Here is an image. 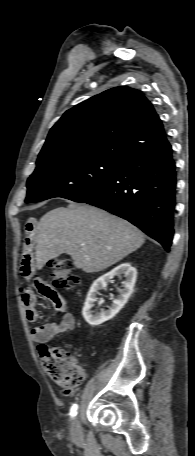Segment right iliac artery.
Here are the masks:
<instances>
[{
  "mask_svg": "<svg viewBox=\"0 0 195 456\" xmlns=\"http://www.w3.org/2000/svg\"><path fill=\"white\" fill-rule=\"evenodd\" d=\"M77 409H78V405L77 404H74L72 405L71 409H70V416L71 418H74L77 414Z\"/></svg>",
  "mask_w": 195,
  "mask_h": 456,
  "instance_id": "82829eb1",
  "label": "right iliac artery"
}]
</instances>
